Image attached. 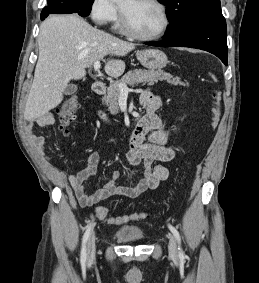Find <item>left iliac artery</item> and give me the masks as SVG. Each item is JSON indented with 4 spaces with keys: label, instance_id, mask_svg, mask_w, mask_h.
<instances>
[{
    "label": "left iliac artery",
    "instance_id": "1",
    "mask_svg": "<svg viewBox=\"0 0 259 283\" xmlns=\"http://www.w3.org/2000/svg\"><path fill=\"white\" fill-rule=\"evenodd\" d=\"M169 229L171 230V232L173 233V235L175 236L178 244H179V256L180 257H183V251H182V248H181V237H180V234L179 232L177 231V229L175 227H173L172 225L169 224Z\"/></svg>",
    "mask_w": 259,
    "mask_h": 283
}]
</instances>
